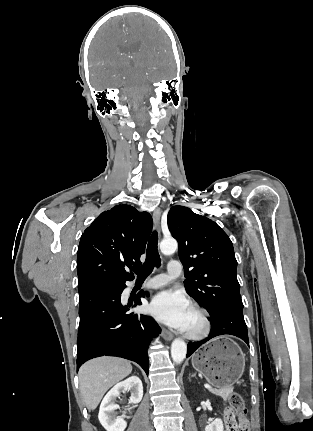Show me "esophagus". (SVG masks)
<instances>
[{
    "label": "esophagus",
    "instance_id": "34e87169",
    "mask_svg": "<svg viewBox=\"0 0 313 431\" xmlns=\"http://www.w3.org/2000/svg\"><path fill=\"white\" fill-rule=\"evenodd\" d=\"M160 218H161V211L160 209L157 208L153 212V221L158 231H160ZM162 335L166 341H170L173 339V334L165 328L162 329Z\"/></svg>",
    "mask_w": 313,
    "mask_h": 431
}]
</instances>
